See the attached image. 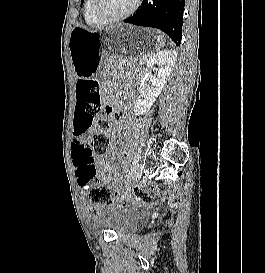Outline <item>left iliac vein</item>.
I'll return each instance as SVG.
<instances>
[{"instance_id": "left-iliac-vein-1", "label": "left iliac vein", "mask_w": 265, "mask_h": 273, "mask_svg": "<svg viewBox=\"0 0 265 273\" xmlns=\"http://www.w3.org/2000/svg\"><path fill=\"white\" fill-rule=\"evenodd\" d=\"M142 173H143L142 165L137 164L136 168H135V171H134V174H133V180L134 181L139 180L141 178V176H142Z\"/></svg>"}]
</instances>
